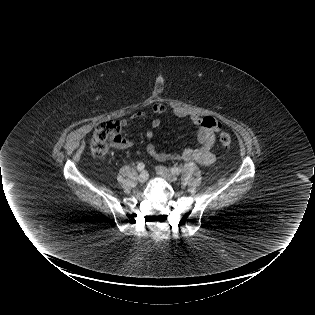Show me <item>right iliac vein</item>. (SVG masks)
<instances>
[{"label": "right iliac vein", "mask_w": 315, "mask_h": 315, "mask_svg": "<svg viewBox=\"0 0 315 315\" xmlns=\"http://www.w3.org/2000/svg\"><path fill=\"white\" fill-rule=\"evenodd\" d=\"M148 177H149L148 172L147 171H142L140 173L139 177H138V181L140 183H144L145 181H147Z\"/></svg>", "instance_id": "63e3f726"}]
</instances>
